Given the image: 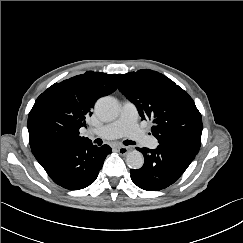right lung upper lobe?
Instances as JSON below:
<instances>
[{
	"mask_svg": "<svg viewBox=\"0 0 243 243\" xmlns=\"http://www.w3.org/2000/svg\"><path fill=\"white\" fill-rule=\"evenodd\" d=\"M120 76L87 71L45 90L28 116L31 149L46 141L90 142L80 135L79 129L86 127V118L92 115L96 100L117 89Z\"/></svg>",
	"mask_w": 243,
	"mask_h": 243,
	"instance_id": "right-lung-upper-lobe-1",
	"label": "right lung upper lobe"
}]
</instances>
